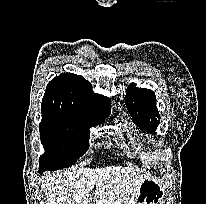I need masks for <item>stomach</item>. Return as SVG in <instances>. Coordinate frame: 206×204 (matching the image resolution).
I'll return each instance as SVG.
<instances>
[{"mask_svg":"<svg viewBox=\"0 0 206 204\" xmlns=\"http://www.w3.org/2000/svg\"><path fill=\"white\" fill-rule=\"evenodd\" d=\"M166 189L156 178L148 177L140 185L134 204H163Z\"/></svg>","mask_w":206,"mask_h":204,"instance_id":"0dacf381","label":"stomach"}]
</instances>
